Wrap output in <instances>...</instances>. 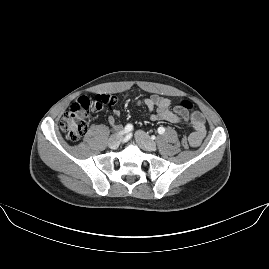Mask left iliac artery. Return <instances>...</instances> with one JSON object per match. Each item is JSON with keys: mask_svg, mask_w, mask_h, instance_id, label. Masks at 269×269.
<instances>
[{"mask_svg": "<svg viewBox=\"0 0 269 269\" xmlns=\"http://www.w3.org/2000/svg\"><path fill=\"white\" fill-rule=\"evenodd\" d=\"M164 132H165L164 127L161 126V127L158 128V133L159 134H163Z\"/></svg>", "mask_w": 269, "mask_h": 269, "instance_id": "44dca946", "label": "left iliac artery"}]
</instances>
